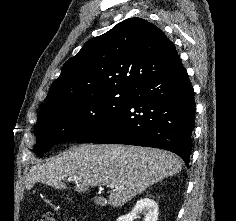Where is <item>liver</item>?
Segmentation results:
<instances>
[{"label":"liver","mask_w":236,"mask_h":221,"mask_svg":"<svg viewBox=\"0 0 236 221\" xmlns=\"http://www.w3.org/2000/svg\"><path fill=\"white\" fill-rule=\"evenodd\" d=\"M181 170V160L165 150L117 144H84L32 166L27 187L42 182L62 189L66 188L63 181L71 178H76L74 189L77 192L113 184L115 188L108 196V204L121 207L153 184Z\"/></svg>","instance_id":"liver-1"}]
</instances>
